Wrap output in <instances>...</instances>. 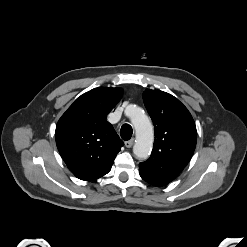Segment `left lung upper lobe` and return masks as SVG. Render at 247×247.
<instances>
[{
  "label": "left lung upper lobe",
  "instance_id": "left-lung-upper-lobe-1",
  "mask_svg": "<svg viewBox=\"0 0 247 247\" xmlns=\"http://www.w3.org/2000/svg\"><path fill=\"white\" fill-rule=\"evenodd\" d=\"M143 100L154 124L155 140L150 158L139 164V170L146 182L160 187L173 181L190 161L197 131L190 112L171 94L147 89Z\"/></svg>",
  "mask_w": 247,
  "mask_h": 247
}]
</instances>
